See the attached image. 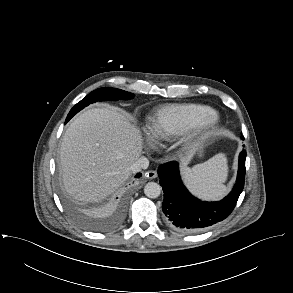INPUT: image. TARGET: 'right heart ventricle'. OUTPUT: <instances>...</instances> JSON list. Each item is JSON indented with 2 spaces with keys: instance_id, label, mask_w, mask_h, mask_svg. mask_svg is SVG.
I'll return each instance as SVG.
<instances>
[{
  "instance_id": "right-heart-ventricle-1",
  "label": "right heart ventricle",
  "mask_w": 293,
  "mask_h": 293,
  "mask_svg": "<svg viewBox=\"0 0 293 293\" xmlns=\"http://www.w3.org/2000/svg\"><path fill=\"white\" fill-rule=\"evenodd\" d=\"M215 112L211 107L195 103L168 104L150 118L147 131L154 140H170L189 131L205 115Z\"/></svg>"
}]
</instances>
